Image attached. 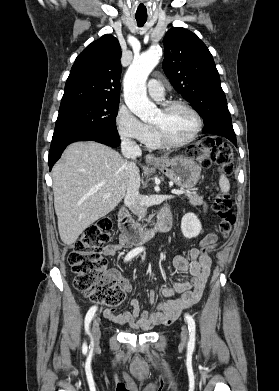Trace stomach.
<instances>
[{
    "label": "stomach",
    "instance_id": "obj_1",
    "mask_svg": "<svg viewBox=\"0 0 279 391\" xmlns=\"http://www.w3.org/2000/svg\"><path fill=\"white\" fill-rule=\"evenodd\" d=\"M163 174L172 180L177 186L190 189L193 188L200 178V168L197 163L185 156L174 158L162 157L155 164Z\"/></svg>",
    "mask_w": 279,
    "mask_h": 391
}]
</instances>
